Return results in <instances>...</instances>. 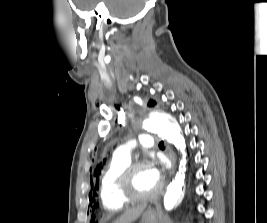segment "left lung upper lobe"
Masks as SVG:
<instances>
[{
    "label": "left lung upper lobe",
    "instance_id": "5c2ea615",
    "mask_svg": "<svg viewBox=\"0 0 267 223\" xmlns=\"http://www.w3.org/2000/svg\"><path fill=\"white\" fill-rule=\"evenodd\" d=\"M148 105L153 106V105H155V102L150 101ZM100 173H101V165L99 164V165H97L95 172H94V175L97 176V179H98V176ZM90 179H91V185L93 188L92 177H90ZM98 187H99V184L97 182L95 185V189H98ZM95 189L93 192L94 195H96ZM90 196H91V194H90ZM92 201H95L94 198L92 199ZM86 214H103V209H101V206H95V205L94 206H88V209H86Z\"/></svg>",
    "mask_w": 267,
    "mask_h": 223
}]
</instances>
